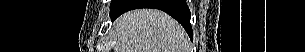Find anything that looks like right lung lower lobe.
<instances>
[{
    "label": "right lung lower lobe",
    "mask_w": 305,
    "mask_h": 52,
    "mask_svg": "<svg viewBox=\"0 0 305 52\" xmlns=\"http://www.w3.org/2000/svg\"><path fill=\"white\" fill-rule=\"evenodd\" d=\"M135 8H156L168 13L184 27L189 37L193 38L191 13L185 0H113L110 16L115 20L122 13Z\"/></svg>",
    "instance_id": "right-lung-lower-lobe-1"
}]
</instances>
